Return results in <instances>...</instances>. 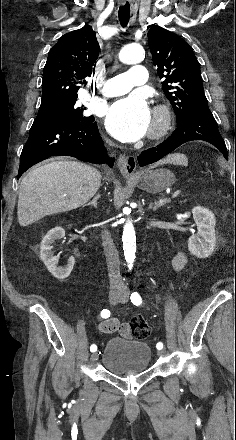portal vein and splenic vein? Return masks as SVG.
I'll return each mask as SVG.
<instances>
[{
    "instance_id": "18ae733b",
    "label": "portal vein and splenic vein",
    "mask_w": 236,
    "mask_h": 440,
    "mask_svg": "<svg viewBox=\"0 0 236 440\" xmlns=\"http://www.w3.org/2000/svg\"><path fill=\"white\" fill-rule=\"evenodd\" d=\"M180 194V190H177L173 193L172 198L177 197Z\"/></svg>"
}]
</instances>
